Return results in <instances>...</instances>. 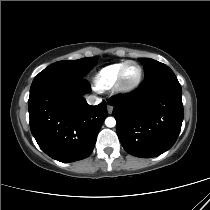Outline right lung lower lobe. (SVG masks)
Here are the masks:
<instances>
[{"label": "right lung lower lobe", "instance_id": "obj_1", "mask_svg": "<svg viewBox=\"0 0 210 210\" xmlns=\"http://www.w3.org/2000/svg\"><path fill=\"white\" fill-rule=\"evenodd\" d=\"M84 77L68 74L36 76L28 107L31 132L40 148L60 162L88 157L108 115L106 102L88 105L90 92Z\"/></svg>", "mask_w": 210, "mask_h": 210}]
</instances>
